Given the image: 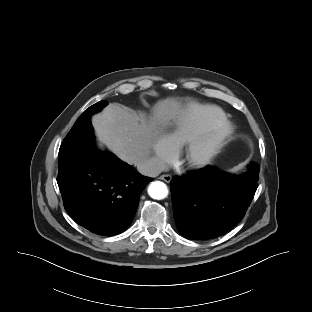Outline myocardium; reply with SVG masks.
<instances>
[{
	"instance_id": "obj_1",
	"label": "myocardium",
	"mask_w": 312,
	"mask_h": 312,
	"mask_svg": "<svg viewBox=\"0 0 312 312\" xmlns=\"http://www.w3.org/2000/svg\"><path fill=\"white\" fill-rule=\"evenodd\" d=\"M234 134V126L228 120L218 122L202 134L182 145L180 160L189 169L208 165L226 146Z\"/></svg>"
}]
</instances>
